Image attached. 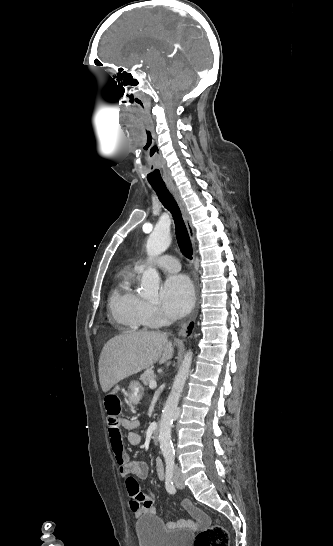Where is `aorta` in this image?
<instances>
[{
  "label": "aorta",
  "mask_w": 333,
  "mask_h": 546,
  "mask_svg": "<svg viewBox=\"0 0 333 546\" xmlns=\"http://www.w3.org/2000/svg\"><path fill=\"white\" fill-rule=\"evenodd\" d=\"M170 243L171 237L169 231L167 229L156 227L148 238L146 244L147 254L152 257L158 256L167 250ZM159 282L160 276L155 268L150 267L144 271L141 279L142 295L149 300H156L158 298ZM192 355L193 353L191 351L186 353L162 411L159 441L160 449L163 455H172L174 452L173 443L171 440V428L181 393L190 372Z\"/></svg>",
  "instance_id": "aorta-1"
}]
</instances>
